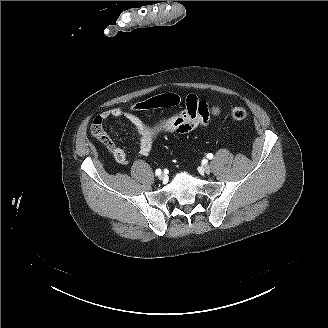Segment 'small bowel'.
Here are the masks:
<instances>
[{
    "instance_id": "obj_1",
    "label": "small bowel",
    "mask_w": 328,
    "mask_h": 328,
    "mask_svg": "<svg viewBox=\"0 0 328 328\" xmlns=\"http://www.w3.org/2000/svg\"><path fill=\"white\" fill-rule=\"evenodd\" d=\"M219 112V106L211 105L205 100L199 99L196 95L191 94L185 98L182 110L162 121L157 128L150 127L131 110L121 107L106 110L99 117L102 120L110 118L125 120L138 137L140 155L148 156L152 145L160 135H182L198 128H204L208 125L210 118L217 116ZM109 150L117 163H125L127 158L126 149L112 146Z\"/></svg>"
}]
</instances>
